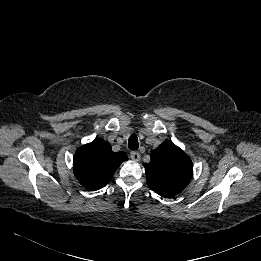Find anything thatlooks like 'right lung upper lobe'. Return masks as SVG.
Here are the masks:
<instances>
[{
    "mask_svg": "<svg viewBox=\"0 0 261 261\" xmlns=\"http://www.w3.org/2000/svg\"><path fill=\"white\" fill-rule=\"evenodd\" d=\"M128 159L124 152H113L111 145L96 138L77 149L73 159L75 177L90 191L104 187L123 161Z\"/></svg>",
    "mask_w": 261,
    "mask_h": 261,
    "instance_id": "cb5924a9",
    "label": "right lung upper lobe"
}]
</instances>
